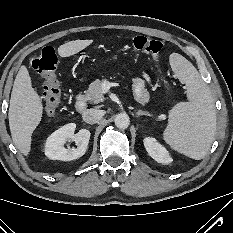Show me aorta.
<instances>
[{"label":"aorta","mask_w":233,"mask_h":233,"mask_svg":"<svg viewBox=\"0 0 233 233\" xmlns=\"http://www.w3.org/2000/svg\"><path fill=\"white\" fill-rule=\"evenodd\" d=\"M130 124L129 116L126 113H120L115 117V125L119 129H126Z\"/></svg>","instance_id":"762f6f07"}]
</instances>
